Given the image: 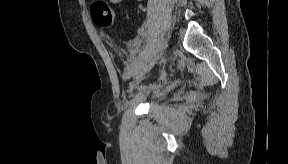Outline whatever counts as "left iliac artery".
<instances>
[{"instance_id":"44dca946","label":"left iliac artery","mask_w":288,"mask_h":164,"mask_svg":"<svg viewBox=\"0 0 288 164\" xmlns=\"http://www.w3.org/2000/svg\"><path fill=\"white\" fill-rule=\"evenodd\" d=\"M151 52V49L147 50L145 53L139 55L136 60H135V63L138 64L140 62H142Z\"/></svg>"}]
</instances>
